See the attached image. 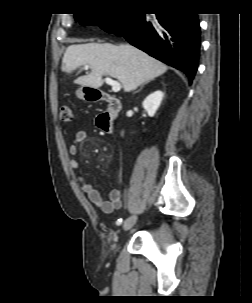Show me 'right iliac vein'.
Instances as JSON below:
<instances>
[{"label": "right iliac vein", "mask_w": 252, "mask_h": 303, "mask_svg": "<svg viewBox=\"0 0 252 303\" xmlns=\"http://www.w3.org/2000/svg\"><path fill=\"white\" fill-rule=\"evenodd\" d=\"M137 222L136 216H131L128 219H126L123 223V229L124 231L130 230Z\"/></svg>", "instance_id": "1"}]
</instances>
